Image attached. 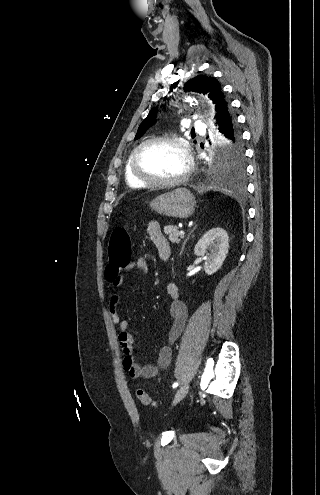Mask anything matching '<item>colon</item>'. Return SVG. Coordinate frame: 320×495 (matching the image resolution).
I'll use <instances>...</instances> for the list:
<instances>
[{
  "instance_id": "1",
  "label": "colon",
  "mask_w": 320,
  "mask_h": 495,
  "mask_svg": "<svg viewBox=\"0 0 320 495\" xmlns=\"http://www.w3.org/2000/svg\"><path fill=\"white\" fill-rule=\"evenodd\" d=\"M109 274L117 275L131 261V237L124 227H116L111 233L108 248ZM138 400L145 406L156 407V402L142 389L136 392Z\"/></svg>"
}]
</instances>
